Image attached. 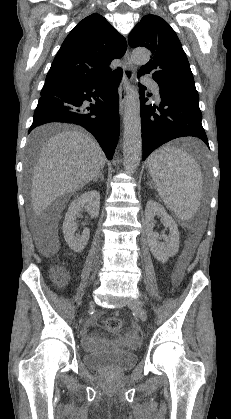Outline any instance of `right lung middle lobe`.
<instances>
[{
    "label": "right lung middle lobe",
    "mask_w": 231,
    "mask_h": 419,
    "mask_svg": "<svg viewBox=\"0 0 231 419\" xmlns=\"http://www.w3.org/2000/svg\"><path fill=\"white\" fill-rule=\"evenodd\" d=\"M59 88H62V87H60V86H50V87H43V89H42V91H41V95H43V94H45V93H47V92H49V91H52V90H57V89H59ZM39 145V140H34L33 142H32V148H36L37 146Z\"/></svg>",
    "instance_id": "right-lung-middle-lobe-1"
}]
</instances>
